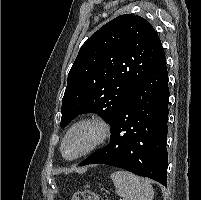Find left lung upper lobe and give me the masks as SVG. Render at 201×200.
Listing matches in <instances>:
<instances>
[{
    "label": "left lung upper lobe",
    "instance_id": "5c2ea615",
    "mask_svg": "<svg viewBox=\"0 0 201 200\" xmlns=\"http://www.w3.org/2000/svg\"><path fill=\"white\" fill-rule=\"evenodd\" d=\"M163 55L157 32L144 18L125 14L105 24L81 46L70 69L61 127L90 112L110 123Z\"/></svg>",
    "mask_w": 201,
    "mask_h": 200
}]
</instances>
